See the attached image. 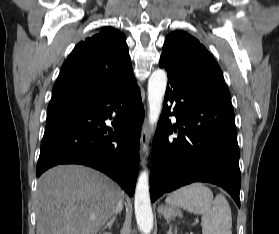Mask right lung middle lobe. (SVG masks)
I'll use <instances>...</instances> for the list:
<instances>
[{
  "mask_svg": "<svg viewBox=\"0 0 279 234\" xmlns=\"http://www.w3.org/2000/svg\"><path fill=\"white\" fill-rule=\"evenodd\" d=\"M54 109H56V108H48V111H51V110H54Z\"/></svg>",
  "mask_w": 279,
  "mask_h": 234,
  "instance_id": "1",
  "label": "right lung middle lobe"
}]
</instances>
